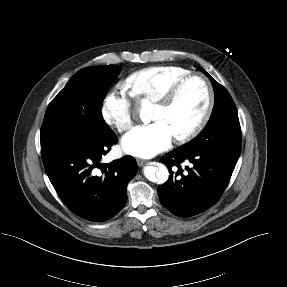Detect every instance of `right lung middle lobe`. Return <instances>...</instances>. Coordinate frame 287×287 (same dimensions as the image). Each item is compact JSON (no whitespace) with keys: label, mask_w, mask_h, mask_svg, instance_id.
Masks as SVG:
<instances>
[{"label":"right lung middle lobe","mask_w":287,"mask_h":287,"mask_svg":"<svg viewBox=\"0 0 287 287\" xmlns=\"http://www.w3.org/2000/svg\"><path fill=\"white\" fill-rule=\"evenodd\" d=\"M121 68L86 67L75 73L49 104L41 128V151L101 138L111 131L101 114L106 92Z\"/></svg>","instance_id":"obj_1"}]
</instances>
